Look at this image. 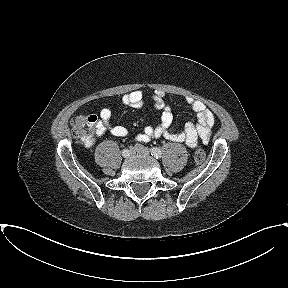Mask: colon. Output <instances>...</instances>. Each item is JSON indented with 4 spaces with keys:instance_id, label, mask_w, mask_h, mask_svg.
Here are the masks:
<instances>
[{
    "instance_id": "5ec220e1",
    "label": "colon",
    "mask_w": 288,
    "mask_h": 288,
    "mask_svg": "<svg viewBox=\"0 0 288 288\" xmlns=\"http://www.w3.org/2000/svg\"><path fill=\"white\" fill-rule=\"evenodd\" d=\"M97 125V117L95 115H80L71 121V127L75 138L86 145H90L94 141V133ZM206 154L202 148H197L194 152V160L196 163H203Z\"/></svg>"
}]
</instances>
